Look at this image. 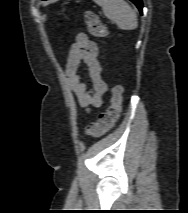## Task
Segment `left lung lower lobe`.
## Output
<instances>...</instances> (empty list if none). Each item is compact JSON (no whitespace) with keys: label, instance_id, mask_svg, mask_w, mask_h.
<instances>
[{"label":"left lung lower lobe","instance_id":"1","mask_svg":"<svg viewBox=\"0 0 188 213\" xmlns=\"http://www.w3.org/2000/svg\"><path fill=\"white\" fill-rule=\"evenodd\" d=\"M130 1H132L138 7L139 11L142 12L143 4L141 0H130Z\"/></svg>","mask_w":188,"mask_h":213}]
</instances>
